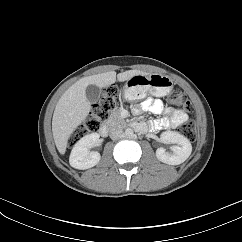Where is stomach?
<instances>
[{
  "mask_svg": "<svg viewBox=\"0 0 242 242\" xmlns=\"http://www.w3.org/2000/svg\"><path fill=\"white\" fill-rule=\"evenodd\" d=\"M173 84V80L167 75L137 74L127 80L124 87V97L132 101L143 99L148 93L156 97L166 96L172 91Z\"/></svg>",
  "mask_w": 242,
  "mask_h": 242,
  "instance_id": "obj_1",
  "label": "stomach"
}]
</instances>
